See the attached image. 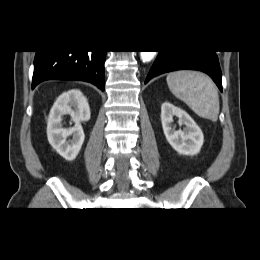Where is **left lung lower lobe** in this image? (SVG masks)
Listing matches in <instances>:
<instances>
[{
    "instance_id": "obj_1",
    "label": "left lung lower lobe",
    "mask_w": 260,
    "mask_h": 260,
    "mask_svg": "<svg viewBox=\"0 0 260 260\" xmlns=\"http://www.w3.org/2000/svg\"><path fill=\"white\" fill-rule=\"evenodd\" d=\"M183 69L205 72L222 91L221 70L215 51H159L145 83L160 74Z\"/></svg>"
}]
</instances>
